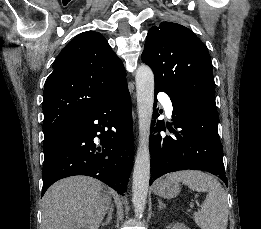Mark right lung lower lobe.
<instances>
[{
    "label": "right lung lower lobe",
    "mask_w": 261,
    "mask_h": 229,
    "mask_svg": "<svg viewBox=\"0 0 261 229\" xmlns=\"http://www.w3.org/2000/svg\"><path fill=\"white\" fill-rule=\"evenodd\" d=\"M100 138V146L93 141ZM42 195L59 179L86 175L118 193L127 189L133 165L132 107L127 85L82 119L44 140Z\"/></svg>",
    "instance_id": "right-lung-lower-lobe-1"
}]
</instances>
